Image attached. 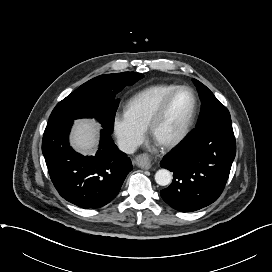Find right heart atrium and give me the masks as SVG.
Returning a JSON list of instances; mask_svg holds the SVG:
<instances>
[{"label":"right heart atrium","mask_w":272,"mask_h":272,"mask_svg":"<svg viewBox=\"0 0 272 272\" xmlns=\"http://www.w3.org/2000/svg\"><path fill=\"white\" fill-rule=\"evenodd\" d=\"M112 128L118 146L126 153L134 152L145 137V129L136 124L126 112L115 114Z\"/></svg>","instance_id":"obj_1"}]
</instances>
